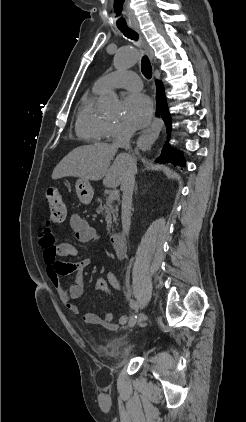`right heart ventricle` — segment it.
Returning a JSON list of instances; mask_svg holds the SVG:
<instances>
[{"label": "right heart ventricle", "mask_w": 246, "mask_h": 422, "mask_svg": "<svg viewBox=\"0 0 246 422\" xmlns=\"http://www.w3.org/2000/svg\"><path fill=\"white\" fill-rule=\"evenodd\" d=\"M101 91L93 89L85 94L80 102L75 130L79 137L91 142H100L105 139V130L107 121L101 117L95 108L97 96Z\"/></svg>", "instance_id": "1"}]
</instances>
